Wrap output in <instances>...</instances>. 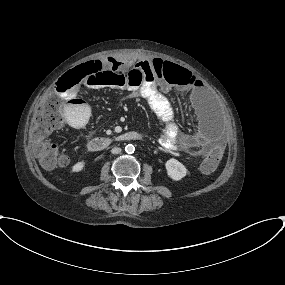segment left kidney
Instances as JSON below:
<instances>
[{
	"instance_id": "left-kidney-1",
	"label": "left kidney",
	"mask_w": 285,
	"mask_h": 285,
	"mask_svg": "<svg viewBox=\"0 0 285 285\" xmlns=\"http://www.w3.org/2000/svg\"><path fill=\"white\" fill-rule=\"evenodd\" d=\"M167 175L174 181H179L187 174V169L178 160L171 158L165 163Z\"/></svg>"
}]
</instances>
